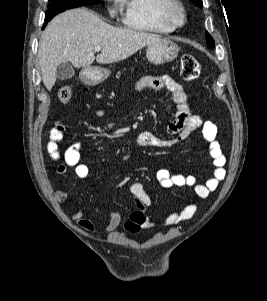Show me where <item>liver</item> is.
<instances>
[{
    "label": "liver",
    "mask_w": 267,
    "mask_h": 301,
    "mask_svg": "<svg viewBox=\"0 0 267 301\" xmlns=\"http://www.w3.org/2000/svg\"><path fill=\"white\" fill-rule=\"evenodd\" d=\"M160 35L113 27L92 11L76 8L55 17L46 27L38 50L42 80L50 91L56 82V69L70 62L76 68L124 60L144 46L159 41ZM100 46L96 57L94 48Z\"/></svg>",
    "instance_id": "liver-1"
}]
</instances>
